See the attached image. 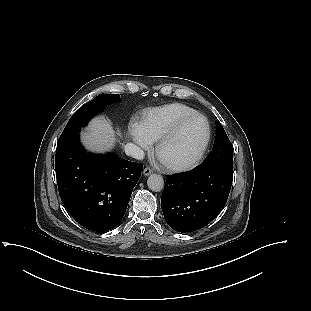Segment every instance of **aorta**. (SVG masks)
<instances>
[{"instance_id":"obj_1","label":"aorta","mask_w":311,"mask_h":311,"mask_svg":"<svg viewBox=\"0 0 311 311\" xmlns=\"http://www.w3.org/2000/svg\"><path fill=\"white\" fill-rule=\"evenodd\" d=\"M148 188L151 191L159 192L164 188V180L160 174H151L147 180Z\"/></svg>"}]
</instances>
